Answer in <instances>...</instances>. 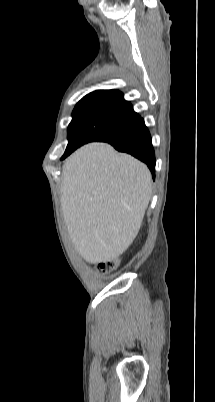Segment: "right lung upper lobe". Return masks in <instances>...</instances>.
<instances>
[{"mask_svg":"<svg viewBox=\"0 0 215 402\" xmlns=\"http://www.w3.org/2000/svg\"><path fill=\"white\" fill-rule=\"evenodd\" d=\"M96 95L110 96L125 101L123 98V94L117 90H96L86 96H96Z\"/></svg>","mask_w":215,"mask_h":402,"instance_id":"cb5924a9","label":"right lung upper lobe"}]
</instances>
